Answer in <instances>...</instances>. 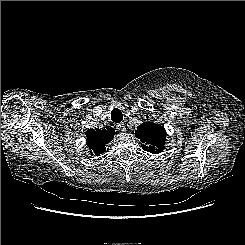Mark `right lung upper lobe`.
I'll use <instances>...</instances> for the list:
<instances>
[{
  "label": "right lung upper lobe",
  "mask_w": 245,
  "mask_h": 245,
  "mask_svg": "<svg viewBox=\"0 0 245 245\" xmlns=\"http://www.w3.org/2000/svg\"><path fill=\"white\" fill-rule=\"evenodd\" d=\"M115 132L110 126L102 128L101 130L90 129L86 132V145L90 149V152L99 156L106 151V145L112 140Z\"/></svg>",
  "instance_id": "1"
}]
</instances>
